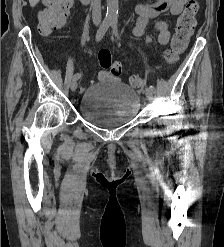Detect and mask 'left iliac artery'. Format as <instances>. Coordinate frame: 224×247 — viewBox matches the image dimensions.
Instances as JSON below:
<instances>
[{
    "instance_id": "1",
    "label": "left iliac artery",
    "mask_w": 224,
    "mask_h": 247,
    "mask_svg": "<svg viewBox=\"0 0 224 247\" xmlns=\"http://www.w3.org/2000/svg\"><path fill=\"white\" fill-rule=\"evenodd\" d=\"M111 26H112V29H113L114 34L119 38L118 29H117V19L116 18L112 19ZM149 88L153 92H155V87L153 85H150Z\"/></svg>"
}]
</instances>
